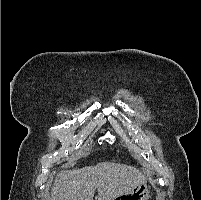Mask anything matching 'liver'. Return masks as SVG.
<instances>
[{
	"instance_id": "1",
	"label": "liver",
	"mask_w": 201,
	"mask_h": 200,
	"mask_svg": "<svg viewBox=\"0 0 201 200\" xmlns=\"http://www.w3.org/2000/svg\"><path fill=\"white\" fill-rule=\"evenodd\" d=\"M146 177L135 167L115 162L61 171L57 174L49 200H113L133 187L146 183Z\"/></svg>"
}]
</instances>
